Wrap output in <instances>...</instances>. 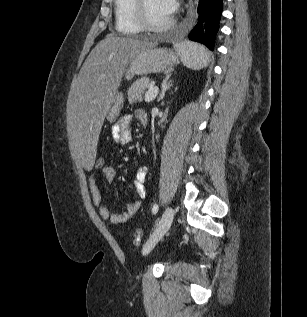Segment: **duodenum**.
<instances>
[{"mask_svg": "<svg viewBox=\"0 0 307 317\" xmlns=\"http://www.w3.org/2000/svg\"><path fill=\"white\" fill-rule=\"evenodd\" d=\"M141 122L143 125H146L147 124V117L145 116L144 118H142Z\"/></svg>", "mask_w": 307, "mask_h": 317, "instance_id": "duodenum-1", "label": "duodenum"}]
</instances>
